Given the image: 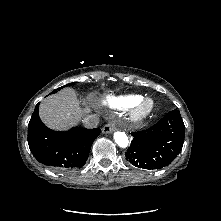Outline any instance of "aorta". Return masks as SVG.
Wrapping results in <instances>:
<instances>
[{"instance_id": "1", "label": "aorta", "mask_w": 221, "mask_h": 221, "mask_svg": "<svg viewBox=\"0 0 221 221\" xmlns=\"http://www.w3.org/2000/svg\"><path fill=\"white\" fill-rule=\"evenodd\" d=\"M114 140H115V143L121 148H126L129 144V139L124 132H119V131L115 132Z\"/></svg>"}]
</instances>
